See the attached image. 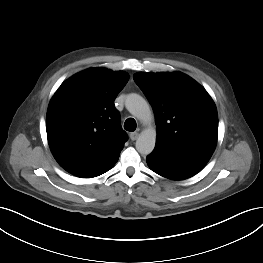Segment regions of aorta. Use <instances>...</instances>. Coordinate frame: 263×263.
<instances>
[{"mask_svg":"<svg viewBox=\"0 0 263 263\" xmlns=\"http://www.w3.org/2000/svg\"><path fill=\"white\" fill-rule=\"evenodd\" d=\"M127 110L138 120L148 123L153 119L150 107L146 100L135 93L129 94L125 100ZM156 130L147 128L141 132L136 140V149L142 155L150 154L155 147Z\"/></svg>","mask_w":263,"mask_h":263,"instance_id":"762f6f07","label":"aorta"}]
</instances>
